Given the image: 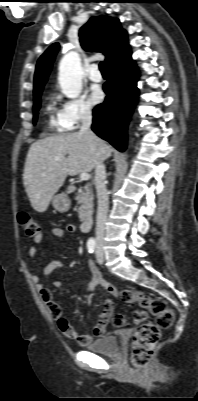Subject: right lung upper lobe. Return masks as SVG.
Wrapping results in <instances>:
<instances>
[{
    "label": "right lung upper lobe",
    "mask_w": 198,
    "mask_h": 401,
    "mask_svg": "<svg viewBox=\"0 0 198 401\" xmlns=\"http://www.w3.org/2000/svg\"><path fill=\"white\" fill-rule=\"evenodd\" d=\"M80 41L86 51L103 53L107 65L129 50L126 31L121 28L118 19L108 16L92 17L80 29ZM58 48V43L52 44L39 58L34 77V96L42 92Z\"/></svg>",
    "instance_id": "right-lung-upper-lobe-1"
}]
</instances>
